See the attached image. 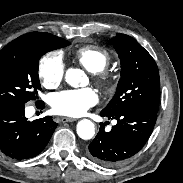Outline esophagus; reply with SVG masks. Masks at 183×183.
I'll list each match as a JSON object with an SVG mask.
<instances>
[{
	"label": "esophagus",
	"mask_w": 183,
	"mask_h": 183,
	"mask_svg": "<svg viewBox=\"0 0 183 183\" xmlns=\"http://www.w3.org/2000/svg\"><path fill=\"white\" fill-rule=\"evenodd\" d=\"M60 121L63 122V123H65V122H73V121H75V119L71 118V117H61Z\"/></svg>",
	"instance_id": "1"
}]
</instances>
